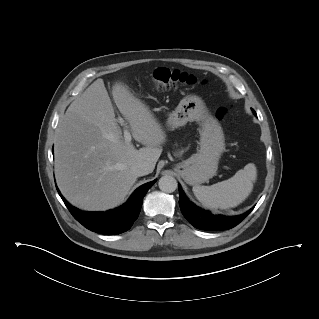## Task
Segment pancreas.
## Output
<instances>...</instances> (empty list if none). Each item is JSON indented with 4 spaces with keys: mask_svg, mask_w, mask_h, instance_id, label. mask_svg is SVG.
<instances>
[{
    "mask_svg": "<svg viewBox=\"0 0 319 319\" xmlns=\"http://www.w3.org/2000/svg\"><path fill=\"white\" fill-rule=\"evenodd\" d=\"M174 155H175V156H180L181 153H180V152H175Z\"/></svg>",
    "mask_w": 319,
    "mask_h": 319,
    "instance_id": "pancreas-1",
    "label": "pancreas"
}]
</instances>
